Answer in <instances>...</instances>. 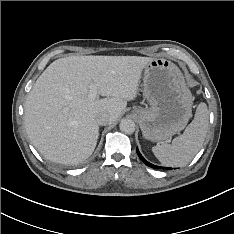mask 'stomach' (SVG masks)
<instances>
[{"label": "stomach", "mask_w": 234, "mask_h": 234, "mask_svg": "<svg viewBox=\"0 0 234 234\" xmlns=\"http://www.w3.org/2000/svg\"><path fill=\"white\" fill-rule=\"evenodd\" d=\"M143 87L150 108L134 111L143 137L161 142L183 130L193 98L180 69L169 60L152 59L144 67Z\"/></svg>", "instance_id": "0dacf381"}]
</instances>
